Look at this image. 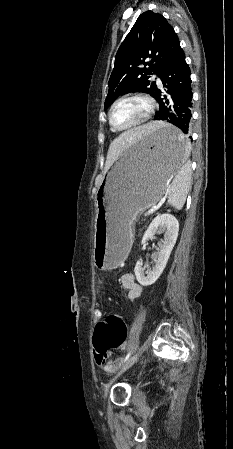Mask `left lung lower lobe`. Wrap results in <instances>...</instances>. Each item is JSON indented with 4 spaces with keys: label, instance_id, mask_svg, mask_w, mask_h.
Wrapping results in <instances>:
<instances>
[{
    "label": "left lung lower lobe",
    "instance_id": "obj_1",
    "mask_svg": "<svg viewBox=\"0 0 233 449\" xmlns=\"http://www.w3.org/2000/svg\"><path fill=\"white\" fill-rule=\"evenodd\" d=\"M190 75V68L185 61L184 51L181 49L159 76L168 95L161 98V91L158 89L153 95L159 103V111L156 112L154 118L165 120L178 127L182 132V136L170 133L161 134V142L173 150L184 148L191 139L188 136L191 128L193 97Z\"/></svg>",
    "mask_w": 233,
    "mask_h": 449
}]
</instances>
